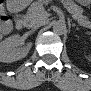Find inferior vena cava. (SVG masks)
Segmentation results:
<instances>
[{"label": "inferior vena cava", "instance_id": "inferior-vena-cava-1", "mask_svg": "<svg viewBox=\"0 0 91 91\" xmlns=\"http://www.w3.org/2000/svg\"><path fill=\"white\" fill-rule=\"evenodd\" d=\"M44 25V21L43 20H39L37 22H31L27 25L28 28H32V29H36L40 26Z\"/></svg>", "mask_w": 91, "mask_h": 91}]
</instances>
